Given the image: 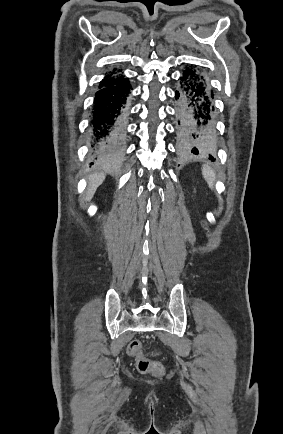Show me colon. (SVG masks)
Wrapping results in <instances>:
<instances>
[{
  "instance_id": "obj_1",
  "label": "colon",
  "mask_w": 283,
  "mask_h": 434,
  "mask_svg": "<svg viewBox=\"0 0 283 434\" xmlns=\"http://www.w3.org/2000/svg\"><path fill=\"white\" fill-rule=\"evenodd\" d=\"M127 350L129 355L136 357V366L139 372L155 376H161L164 373V368L160 363L152 361L142 354V345L138 340L131 341Z\"/></svg>"
}]
</instances>
